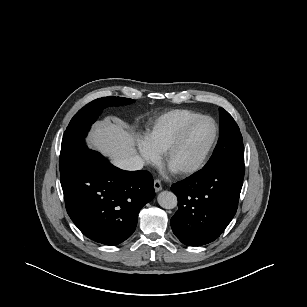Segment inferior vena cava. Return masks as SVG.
Listing matches in <instances>:
<instances>
[{"mask_svg":"<svg viewBox=\"0 0 307 307\" xmlns=\"http://www.w3.org/2000/svg\"><path fill=\"white\" fill-rule=\"evenodd\" d=\"M145 162L138 155H132L126 158L118 159L115 165L123 170L135 171L143 168Z\"/></svg>","mask_w":307,"mask_h":307,"instance_id":"1","label":"inferior vena cava"}]
</instances>
